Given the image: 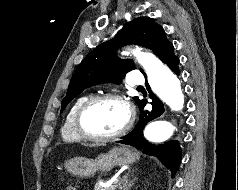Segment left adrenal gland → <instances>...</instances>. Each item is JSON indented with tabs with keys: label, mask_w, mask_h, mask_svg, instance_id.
<instances>
[{
	"label": "left adrenal gland",
	"mask_w": 238,
	"mask_h": 190,
	"mask_svg": "<svg viewBox=\"0 0 238 190\" xmlns=\"http://www.w3.org/2000/svg\"><path fill=\"white\" fill-rule=\"evenodd\" d=\"M131 171H128L121 179L119 183V190H129L131 185L134 183L135 179H132L131 181L128 180L129 174Z\"/></svg>",
	"instance_id": "1"
}]
</instances>
